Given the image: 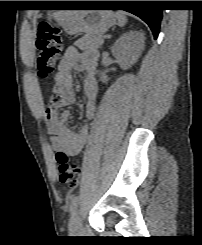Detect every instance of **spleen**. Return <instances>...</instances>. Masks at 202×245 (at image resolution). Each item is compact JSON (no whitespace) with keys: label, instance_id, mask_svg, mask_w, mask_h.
Wrapping results in <instances>:
<instances>
[{"label":"spleen","instance_id":"spleen-1","mask_svg":"<svg viewBox=\"0 0 202 245\" xmlns=\"http://www.w3.org/2000/svg\"><path fill=\"white\" fill-rule=\"evenodd\" d=\"M116 16H117V18H118V25H119L120 27H123V26L126 24V22H127V18H126V16H125V13L122 12V11H118V12L116 13Z\"/></svg>","mask_w":202,"mask_h":245}]
</instances>
